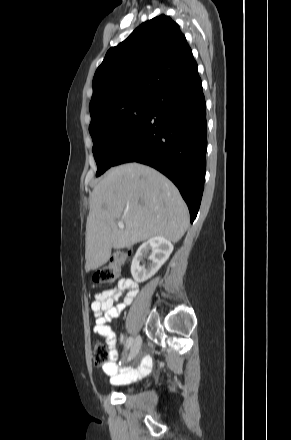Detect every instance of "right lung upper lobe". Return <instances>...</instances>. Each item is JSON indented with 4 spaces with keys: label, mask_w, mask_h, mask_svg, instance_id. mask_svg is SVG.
<instances>
[{
    "label": "right lung upper lobe",
    "mask_w": 291,
    "mask_h": 440,
    "mask_svg": "<svg viewBox=\"0 0 291 440\" xmlns=\"http://www.w3.org/2000/svg\"><path fill=\"white\" fill-rule=\"evenodd\" d=\"M197 68L185 36L169 16H157L112 47L97 68L90 111L137 96H155Z\"/></svg>",
    "instance_id": "obj_1"
}]
</instances>
